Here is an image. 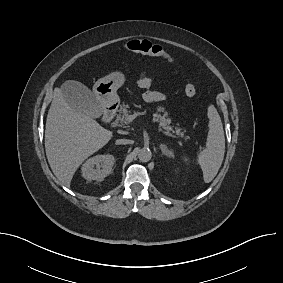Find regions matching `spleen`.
Returning <instances> with one entry per match:
<instances>
[{"mask_svg":"<svg viewBox=\"0 0 283 283\" xmlns=\"http://www.w3.org/2000/svg\"><path fill=\"white\" fill-rule=\"evenodd\" d=\"M209 132L207 135L206 148L198 154L197 162L203 171L205 183L211 182L217 175L223 162L225 153V136L221 118L213 105L208 107ZM188 164L189 158L183 157Z\"/></svg>","mask_w":283,"mask_h":283,"instance_id":"obj_1","label":"spleen"}]
</instances>
